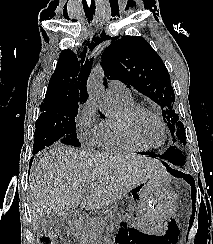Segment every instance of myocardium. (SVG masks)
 I'll return each instance as SVG.
<instances>
[{
	"label": "myocardium",
	"mask_w": 213,
	"mask_h": 244,
	"mask_svg": "<svg viewBox=\"0 0 213 244\" xmlns=\"http://www.w3.org/2000/svg\"><path fill=\"white\" fill-rule=\"evenodd\" d=\"M142 113H146L151 115L152 117H154L158 123L160 124L162 130H163V138L161 140L160 143L156 144V145H150L147 144L145 142H143L135 133L134 129H133V121L134 119L142 114ZM117 122L118 125L120 127L121 132L123 133V135L132 143L144 148V149H155L160 147L165 140L167 139V135H168V130L167 127L164 123V121L162 120L161 116L156 113L155 111H153L150 108L147 107H143V106H139L136 105L132 108H126L123 109L120 113V115L117 117Z\"/></svg>",
	"instance_id": "1"
}]
</instances>
